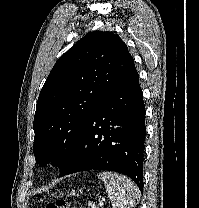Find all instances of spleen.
Segmentation results:
<instances>
[{"instance_id":"1","label":"spleen","mask_w":199,"mask_h":208,"mask_svg":"<svg viewBox=\"0 0 199 208\" xmlns=\"http://www.w3.org/2000/svg\"><path fill=\"white\" fill-rule=\"evenodd\" d=\"M97 176L104 182L113 208H132L139 202L140 191L128 177L109 171Z\"/></svg>"}]
</instances>
